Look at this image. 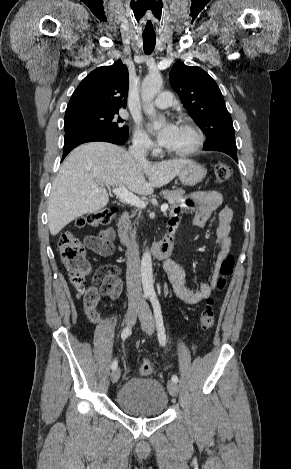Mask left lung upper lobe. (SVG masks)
<instances>
[{
  "label": "left lung upper lobe",
  "mask_w": 291,
  "mask_h": 469,
  "mask_svg": "<svg viewBox=\"0 0 291 469\" xmlns=\"http://www.w3.org/2000/svg\"><path fill=\"white\" fill-rule=\"evenodd\" d=\"M170 82L195 123L205 132V147L219 144L236 145L232 119L222 93L203 69L176 62Z\"/></svg>",
  "instance_id": "obj_1"
}]
</instances>
